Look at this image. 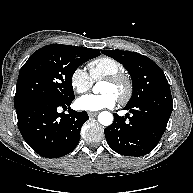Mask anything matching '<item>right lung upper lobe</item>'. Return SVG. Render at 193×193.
<instances>
[{"mask_svg": "<svg viewBox=\"0 0 193 193\" xmlns=\"http://www.w3.org/2000/svg\"><path fill=\"white\" fill-rule=\"evenodd\" d=\"M81 50H85V51H89V52H92L93 54L99 56L100 55V51L98 49H89V48H86V47H77Z\"/></svg>", "mask_w": 193, "mask_h": 193, "instance_id": "cb5924a9", "label": "right lung upper lobe"}]
</instances>
